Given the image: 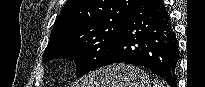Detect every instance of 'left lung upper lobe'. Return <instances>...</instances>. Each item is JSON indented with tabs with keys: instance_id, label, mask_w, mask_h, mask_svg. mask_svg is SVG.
Here are the masks:
<instances>
[{
	"instance_id": "1",
	"label": "left lung upper lobe",
	"mask_w": 205,
	"mask_h": 87,
	"mask_svg": "<svg viewBox=\"0 0 205 87\" xmlns=\"http://www.w3.org/2000/svg\"><path fill=\"white\" fill-rule=\"evenodd\" d=\"M136 1L69 0L54 23L42 61L74 60L78 77L102 67Z\"/></svg>"
}]
</instances>
